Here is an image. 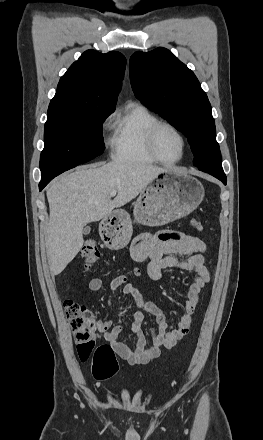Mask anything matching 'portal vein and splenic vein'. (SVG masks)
<instances>
[{"label": "portal vein and splenic vein", "mask_w": 263, "mask_h": 440, "mask_svg": "<svg viewBox=\"0 0 263 440\" xmlns=\"http://www.w3.org/2000/svg\"><path fill=\"white\" fill-rule=\"evenodd\" d=\"M116 191H112V192H110V197H114L115 195H116Z\"/></svg>", "instance_id": "1"}]
</instances>
